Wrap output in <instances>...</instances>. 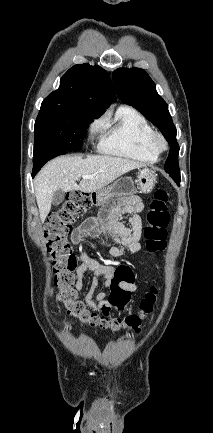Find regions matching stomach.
I'll return each mask as SVG.
<instances>
[{"instance_id":"0dacf381","label":"stomach","mask_w":213,"mask_h":433,"mask_svg":"<svg viewBox=\"0 0 213 433\" xmlns=\"http://www.w3.org/2000/svg\"><path fill=\"white\" fill-rule=\"evenodd\" d=\"M155 183L156 175L145 168L139 171L135 182L131 177H121L113 184L88 194L89 201L91 205L104 206L115 197L128 196L135 192L148 194L153 190Z\"/></svg>"}]
</instances>
